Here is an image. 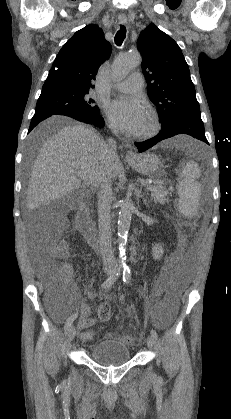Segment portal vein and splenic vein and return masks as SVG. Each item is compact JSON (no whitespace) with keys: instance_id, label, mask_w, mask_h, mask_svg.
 <instances>
[{"instance_id":"18ae733b","label":"portal vein and splenic vein","mask_w":231,"mask_h":419,"mask_svg":"<svg viewBox=\"0 0 231 419\" xmlns=\"http://www.w3.org/2000/svg\"><path fill=\"white\" fill-rule=\"evenodd\" d=\"M78 176L80 177V178H82V179H84L85 177L81 174V173H78ZM160 187H162V186H160ZM148 190H154V189H156L155 187H153V186H148L147 185V187H146Z\"/></svg>"}]
</instances>
